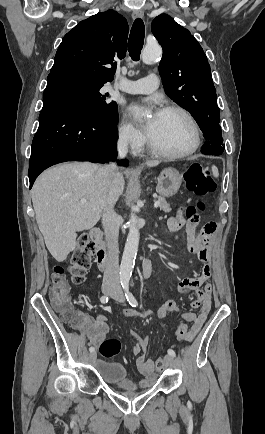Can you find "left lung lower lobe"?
Returning a JSON list of instances; mask_svg holds the SVG:
<instances>
[{
	"label": "left lung lower lobe",
	"instance_id": "1",
	"mask_svg": "<svg viewBox=\"0 0 265 434\" xmlns=\"http://www.w3.org/2000/svg\"><path fill=\"white\" fill-rule=\"evenodd\" d=\"M223 151L224 148L214 147L209 142L205 143L201 148V152L207 155H221Z\"/></svg>",
	"mask_w": 265,
	"mask_h": 434
}]
</instances>
